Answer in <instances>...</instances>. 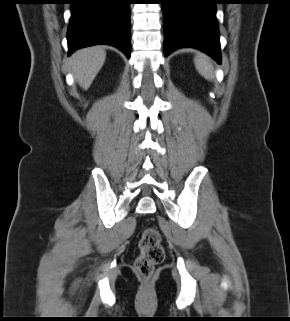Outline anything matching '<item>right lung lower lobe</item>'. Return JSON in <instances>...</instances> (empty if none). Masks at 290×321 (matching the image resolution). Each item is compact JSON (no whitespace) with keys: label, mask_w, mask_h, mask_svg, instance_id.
Here are the masks:
<instances>
[{"label":"right lung lower lobe","mask_w":290,"mask_h":321,"mask_svg":"<svg viewBox=\"0 0 290 321\" xmlns=\"http://www.w3.org/2000/svg\"><path fill=\"white\" fill-rule=\"evenodd\" d=\"M67 31L69 52L107 44L130 57V2L128 0H72Z\"/></svg>","instance_id":"right-lung-lower-lobe-1"}]
</instances>
